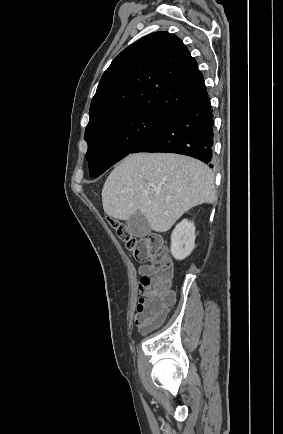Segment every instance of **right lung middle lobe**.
Wrapping results in <instances>:
<instances>
[{
	"mask_svg": "<svg viewBox=\"0 0 283 434\" xmlns=\"http://www.w3.org/2000/svg\"><path fill=\"white\" fill-rule=\"evenodd\" d=\"M169 118L148 111L126 113L85 130L90 177H98L131 153Z\"/></svg>",
	"mask_w": 283,
	"mask_h": 434,
	"instance_id": "1",
	"label": "right lung middle lobe"
}]
</instances>
